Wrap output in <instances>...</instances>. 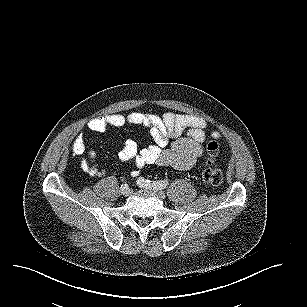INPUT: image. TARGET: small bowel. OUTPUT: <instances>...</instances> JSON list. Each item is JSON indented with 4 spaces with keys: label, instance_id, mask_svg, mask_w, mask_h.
Wrapping results in <instances>:
<instances>
[{
    "label": "small bowel",
    "instance_id": "small-bowel-1",
    "mask_svg": "<svg viewBox=\"0 0 307 307\" xmlns=\"http://www.w3.org/2000/svg\"><path fill=\"white\" fill-rule=\"evenodd\" d=\"M142 125L149 129L153 143L139 149L136 142L126 140L118 153L122 163L132 162L138 176L140 169L149 164L170 166L177 170H189L204 153L207 121L193 114L163 115L131 113L128 115L112 114L91 119L87 126L94 132H105L110 128H124L126 125ZM214 138L219 132L212 133ZM73 154L81 156L80 166L90 176H102L105 170L96 163V153L86 149L84 136L78 134L72 144ZM86 154L85 156H83Z\"/></svg>",
    "mask_w": 307,
    "mask_h": 307
}]
</instances>
